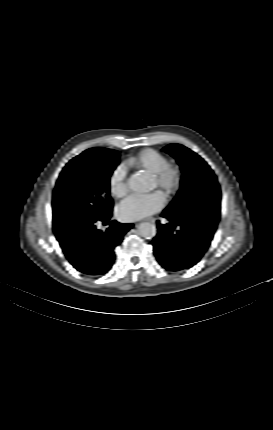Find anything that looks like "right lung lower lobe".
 I'll use <instances>...</instances> for the list:
<instances>
[{
    "label": "right lung lower lobe",
    "mask_w": 273,
    "mask_h": 430,
    "mask_svg": "<svg viewBox=\"0 0 273 430\" xmlns=\"http://www.w3.org/2000/svg\"><path fill=\"white\" fill-rule=\"evenodd\" d=\"M111 216L112 213H109L78 230L57 237L68 261L85 275L100 276L107 273L115 260V247L133 227V224L112 221L110 227L101 233L96 228V222L108 221Z\"/></svg>",
    "instance_id": "obj_1"
}]
</instances>
